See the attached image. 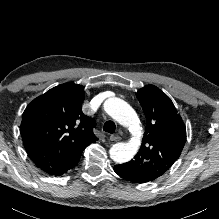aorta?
Segmentation results:
<instances>
[{
  "label": "aorta",
  "instance_id": "obj_1",
  "mask_svg": "<svg viewBox=\"0 0 219 219\" xmlns=\"http://www.w3.org/2000/svg\"><path fill=\"white\" fill-rule=\"evenodd\" d=\"M104 110L113 119L129 127L135 134V137L127 143L119 142L114 144L110 148V157L116 163H125L130 161L136 154L138 146L140 144L141 127L139 126V120L134 109L125 101L119 98H109L104 103Z\"/></svg>",
  "mask_w": 219,
  "mask_h": 219
}]
</instances>
